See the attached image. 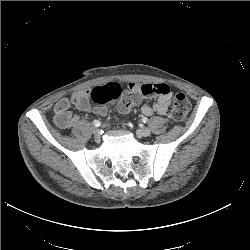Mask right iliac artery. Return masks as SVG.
Returning a JSON list of instances; mask_svg holds the SVG:
<instances>
[{"mask_svg":"<svg viewBox=\"0 0 250 250\" xmlns=\"http://www.w3.org/2000/svg\"><path fill=\"white\" fill-rule=\"evenodd\" d=\"M93 125L96 126V127H98V126L101 125V122L99 120H94L93 121Z\"/></svg>","mask_w":250,"mask_h":250,"instance_id":"82829eb1","label":"right iliac artery"}]
</instances>
